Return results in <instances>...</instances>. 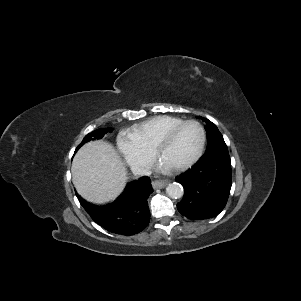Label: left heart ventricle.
<instances>
[{
    "instance_id": "1",
    "label": "left heart ventricle",
    "mask_w": 301,
    "mask_h": 301,
    "mask_svg": "<svg viewBox=\"0 0 301 301\" xmlns=\"http://www.w3.org/2000/svg\"><path fill=\"white\" fill-rule=\"evenodd\" d=\"M200 130L194 124L184 126L161 150V162L174 167L188 161L197 151Z\"/></svg>"
}]
</instances>
